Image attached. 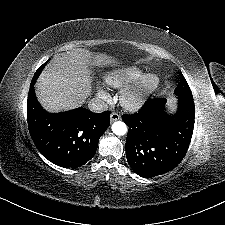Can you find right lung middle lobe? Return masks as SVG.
<instances>
[{
  "instance_id": "1",
  "label": "right lung middle lobe",
  "mask_w": 225,
  "mask_h": 225,
  "mask_svg": "<svg viewBox=\"0 0 225 225\" xmlns=\"http://www.w3.org/2000/svg\"><path fill=\"white\" fill-rule=\"evenodd\" d=\"M48 62V61H47ZM47 62H45L37 71L36 73L34 74L33 76V79H32V82H31V85H34L37 78L39 77L40 73L42 72L44 66L47 64Z\"/></svg>"
}]
</instances>
